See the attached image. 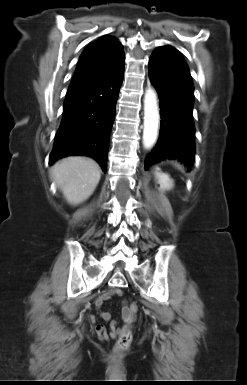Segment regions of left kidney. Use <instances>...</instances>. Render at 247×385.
I'll use <instances>...</instances> for the list:
<instances>
[{
	"label": "left kidney",
	"instance_id": "left-kidney-1",
	"mask_svg": "<svg viewBox=\"0 0 247 385\" xmlns=\"http://www.w3.org/2000/svg\"><path fill=\"white\" fill-rule=\"evenodd\" d=\"M156 178L161 190H169L173 187L172 179L168 174L161 172L159 168L156 169Z\"/></svg>",
	"mask_w": 247,
	"mask_h": 385
}]
</instances>
